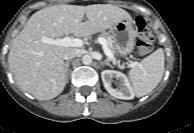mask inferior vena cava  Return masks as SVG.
Here are the masks:
<instances>
[{
    "instance_id": "obj_1",
    "label": "inferior vena cava",
    "mask_w": 194,
    "mask_h": 133,
    "mask_svg": "<svg viewBox=\"0 0 194 133\" xmlns=\"http://www.w3.org/2000/svg\"><path fill=\"white\" fill-rule=\"evenodd\" d=\"M79 54V50L75 48H69L63 55L64 60H69L76 57Z\"/></svg>"
}]
</instances>
